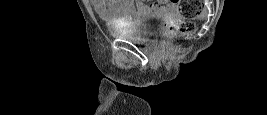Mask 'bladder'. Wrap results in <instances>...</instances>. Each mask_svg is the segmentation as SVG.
Returning a JSON list of instances; mask_svg holds the SVG:
<instances>
[{
	"instance_id": "31cf9c89",
	"label": "bladder",
	"mask_w": 267,
	"mask_h": 115,
	"mask_svg": "<svg viewBox=\"0 0 267 115\" xmlns=\"http://www.w3.org/2000/svg\"><path fill=\"white\" fill-rule=\"evenodd\" d=\"M162 20V16L155 13H147L141 18L127 25H115L110 27L111 33L121 39L131 41H147L155 35L154 24Z\"/></svg>"
}]
</instances>
